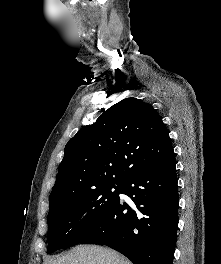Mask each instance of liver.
<instances>
[{
  "label": "liver",
  "mask_w": 221,
  "mask_h": 264,
  "mask_svg": "<svg viewBox=\"0 0 221 264\" xmlns=\"http://www.w3.org/2000/svg\"><path fill=\"white\" fill-rule=\"evenodd\" d=\"M43 264H132L126 257L99 246H76L69 253L47 259Z\"/></svg>",
  "instance_id": "6515ba94"
}]
</instances>
